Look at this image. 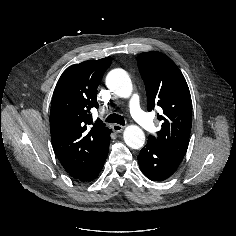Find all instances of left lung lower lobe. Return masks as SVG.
<instances>
[{"label":"left lung lower lobe","mask_w":236,"mask_h":236,"mask_svg":"<svg viewBox=\"0 0 236 236\" xmlns=\"http://www.w3.org/2000/svg\"><path fill=\"white\" fill-rule=\"evenodd\" d=\"M143 174L152 181H163L178 168V161L148 142L137 156Z\"/></svg>","instance_id":"0a47b994"}]
</instances>
